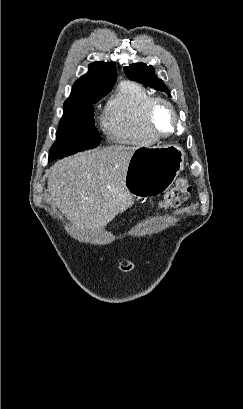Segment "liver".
I'll use <instances>...</instances> for the list:
<instances>
[{
  "mask_svg": "<svg viewBox=\"0 0 243 409\" xmlns=\"http://www.w3.org/2000/svg\"><path fill=\"white\" fill-rule=\"evenodd\" d=\"M136 149L110 146L59 160L47 170L51 204L78 230H101L133 204L125 178Z\"/></svg>",
  "mask_w": 243,
  "mask_h": 409,
  "instance_id": "liver-1",
  "label": "liver"
}]
</instances>
